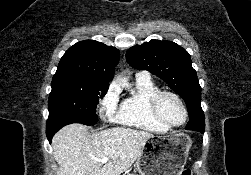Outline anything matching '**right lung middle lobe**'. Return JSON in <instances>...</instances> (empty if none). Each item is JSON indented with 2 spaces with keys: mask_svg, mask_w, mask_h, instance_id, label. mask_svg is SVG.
Here are the masks:
<instances>
[{
  "mask_svg": "<svg viewBox=\"0 0 251 175\" xmlns=\"http://www.w3.org/2000/svg\"><path fill=\"white\" fill-rule=\"evenodd\" d=\"M49 95V117L47 123H82L93 126L98 121L95 108L99 98L106 94L107 86H90L62 80H52Z\"/></svg>",
  "mask_w": 251,
  "mask_h": 175,
  "instance_id": "obj_1",
  "label": "right lung middle lobe"
}]
</instances>
